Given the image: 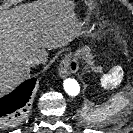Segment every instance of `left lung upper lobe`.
<instances>
[{"instance_id":"obj_1","label":"left lung upper lobe","mask_w":133,"mask_h":133,"mask_svg":"<svg viewBox=\"0 0 133 133\" xmlns=\"http://www.w3.org/2000/svg\"><path fill=\"white\" fill-rule=\"evenodd\" d=\"M92 115L93 113H91V111H88L87 109H84L81 113L82 120H84L85 122H92Z\"/></svg>"}]
</instances>
